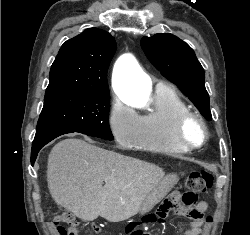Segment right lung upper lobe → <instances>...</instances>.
<instances>
[{
	"label": "right lung upper lobe",
	"mask_w": 250,
	"mask_h": 235,
	"mask_svg": "<svg viewBox=\"0 0 250 235\" xmlns=\"http://www.w3.org/2000/svg\"><path fill=\"white\" fill-rule=\"evenodd\" d=\"M115 50L114 38L98 28L86 29L67 40L51 66L45 97L108 90L107 70Z\"/></svg>",
	"instance_id": "obj_1"
}]
</instances>
